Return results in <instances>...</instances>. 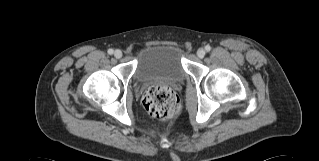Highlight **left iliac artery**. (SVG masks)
I'll use <instances>...</instances> for the list:
<instances>
[{
	"instance_id": "1",
	"label": "left iliac artery",
	"mask_w": 319,
	"mask_h": 161,
	"mask_svg": "<svg viewBox=\"0 0 319 161\" xmlns=\"http://www.w3.org/2000/svg\"><path fill=\"white\" fill-rule=\"evenodd\" d=\"M205 50L206 51H210L211 50V47L209 45L205 46Z\"/></svg>"
}]
</instances>
